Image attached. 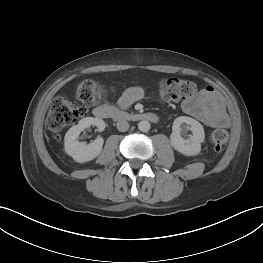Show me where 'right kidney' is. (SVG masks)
Here are the masks:
<instances>
[{"mask_svg":"<svg viewBox=\"0 0 263 263\" xmlns=\"http://www.w3.org/2000/svg\"><path fill=\"white\" fill-rule=\"evenodd\" d=\"M91 125L98 127L99 131L105 129V122L102 119L86 117L81 119L77 125L72 126L65 134V151L78 163L90 161L101 153L104 143L101 137H98L90 144L78 142L79 134Z\"/></svg>","mask_w":263,"mask_h":263,"instance_id":"ca27d5eb","label":"right kidney"}]
</instances>
